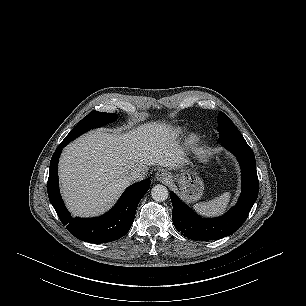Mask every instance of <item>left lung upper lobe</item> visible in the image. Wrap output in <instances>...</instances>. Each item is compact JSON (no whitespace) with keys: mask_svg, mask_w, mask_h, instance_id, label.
I'll return each instance as SVG.
<instances>
[{"mask_svg":"<svg viewBox=\"0 0 306 306\" xmlns=\"http://www.w3.org/2000/svg\"><path fill=\"white\" fill-rule=\"evenodd\" d=\"M218 124V131L220 132L219 142L245 140L234 123L223 112L218 114Z\"/></svg>","mask_w":306,"mask_h":306,"instance_id":"left-lung-upper-lobe-1","label":"left lung upper lobe"}]
</instances>
